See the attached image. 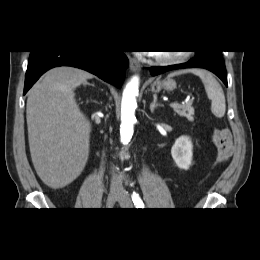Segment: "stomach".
Wrapping results in <instances>:
<instances>
[{
	"label": "stomach",
	"instance_id": "0dacf381",
	"mask_svg": "<svg viewBox=\"0 0 260 260\" xmlns=\"http://www.w3.org/2000/svg\"><path fill=\"white\" fill-rule=\"evenodd\" d=\"M175 88H176V82L172 79H166L163 81L157 79L151 84V90L153 92H159L161 89L167 91H173Z\"/></svg>",
	"mask_w": 260,
	"mask_h": 260
}]
</instances>
